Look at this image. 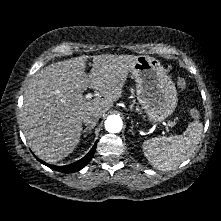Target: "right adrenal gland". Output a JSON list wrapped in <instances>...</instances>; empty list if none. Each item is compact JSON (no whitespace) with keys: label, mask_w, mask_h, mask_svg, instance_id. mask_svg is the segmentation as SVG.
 Here are the masks:
<instances>
[{"label":"right adrenal gland","mask_w":221,"mask_h":221,"mask_svg":"<svg viewBox=\"0 0 221 221\" xmlns=\"http://www.w3.org/2000/svg\"><path fill=\"white\" fill-rule=\"evenodd\" d=\"M92 127H87L83 130V133H84V137H86L87 133L91 134L92 132Z\"/></svg>","instance_id":"right-adrenal-gland-1"}]
</instances>
